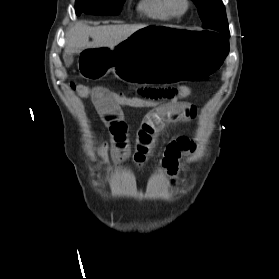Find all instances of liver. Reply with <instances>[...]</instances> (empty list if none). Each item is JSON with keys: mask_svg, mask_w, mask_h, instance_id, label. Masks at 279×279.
Segmentation results:
<instances>
[{"mask_svg": "<svg viewBox=\"0 0 279 279\" xmlns=\"http://www.w3.org/2000/svg\"><path fill=\"white\" fill-rule=\"evenodd\" d=\"M147 25H105L90 27L81 22L66 32L65 53H80L85 49L113 47ZM89 37L93 39L89 42Z\"/></svg>", "mask_w": 279, "mask_h": 279, "instance_id": "1", "label": "liver"}]
</instances>
